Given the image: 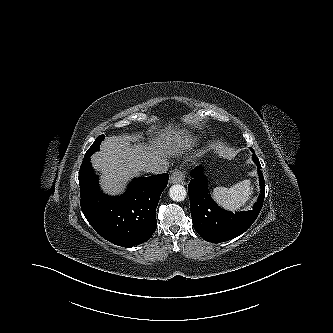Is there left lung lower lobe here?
I'll return each mask as SVG.
<instances>
[{"mask_svg": "<svg viewBox=\"0 0 333 333\" xmlns=\"http://www.w3.org/2000/svg\"><path fill=\"white\" fill-rule=\"evenodd\" d=\"M252 158L258 167L261 193L253 209L246 212L232 213L218 207L209 195L202 166L191 171L193 179L188 184V192L193 227L204 240L216 243L231 240L245 232L256 220L264 202L265 181L259 159L255 154Z\"/></svg>", "mask_w": 333, "mask_h": 333, "instance_id": "1", "label": "left lung lower lobe"}]
</instances>
